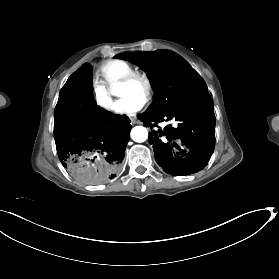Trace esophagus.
<instances>
[{
    "instance_id": "obj_1",
    "label": "esophagus",
    "mask_w": 279,
    "mask_h": 279,
    "mask_svg": "<svg viewBox=\"0 0 279 279\" xmlns=\"http://www.w3.org/2000/svg\"><path fill=\"white\" fill-rule=\"evenodd\" d=\"M130 120L133 124H139V121L137 120L136 117H130Z\"/></svg>"
}]
</instances>
